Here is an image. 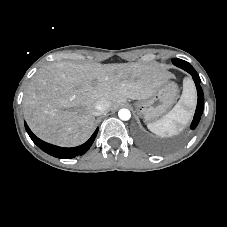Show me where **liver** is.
I'll return each instance as SVG.
<instances>
[{"label": "liver", "mask_w": 227, "mask_h": 227, "mask_svg": "<svg viewBox=\"0 0 227 227\" xmlns=\"http://www.w3.org/2000/svg\"><path fill=\"white\" fill-rule=\"evenodd\" d=\"M173 75L155 64H75L54 62L33 76L23 99L24 117L42 140L73 147L94 130V104L102 98L109 110L127 98L153 96Z\"/></svg>", "instance_id": "1"}]
</instances>
